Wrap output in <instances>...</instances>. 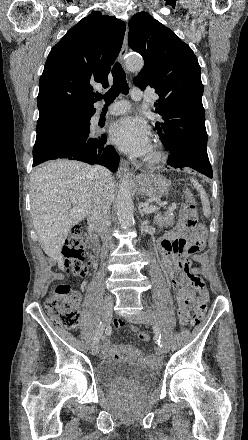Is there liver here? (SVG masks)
<instances>
[{
  "instance_id": "1",
  "label": "liver",
  "mask_w": 248,
  "mask_h": 440,
  "mask_svg": "<svg viewBox=\"0 0 248 440\" xmlns=\"http://www.w3.org/2000/svg\"><path fill=\"white\" fill-rule=\"evenodd\" d=\"M92 169L82 162L57 160L36 167L30 177L31 216L38 241L61 270L64 269L61 250L68 233L88 215L102 188ZM114 188L113 181L105 188L111 201Z\"/></svg>"
}]
</instances>
